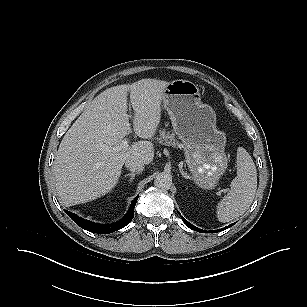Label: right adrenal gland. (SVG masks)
<instances>
[{"label": "right adrenal gland", "mask_w": 307, "mask_h": 307, "mask_svg": "<svg viewBox=\"0 0 307 307\" xmlns=\"http://www.w3.org/2000/svg\"><path fill=\"white\" fill-rule=\"evenodd\" d=\"M136 174H139V173L132 171L131 173L126 174L125 177H130L129 181L132 182L134 180Z\"/></svg>", "instance_id": "2a0ac1e0"}]
</instances>
